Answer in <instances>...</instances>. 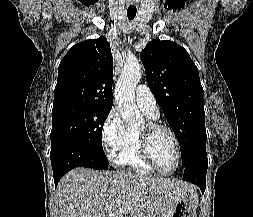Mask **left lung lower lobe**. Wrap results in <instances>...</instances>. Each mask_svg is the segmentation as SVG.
Instances as JSON below:
<instances>
[{"mask_svg":"<svg viewBox=\"0 0 253 217\" xmlns=\"http://www.w3.org/2000/svg\"><path fill=\"white\" fill-rule=\"evenodd\" d=\"M207 167L208 160L206 153L193 157L190 163L183 169V180L196 184L204 193Z\"/></svg>","mask_w":253,"mask_h":217,"instance_id":"0a47b994","label":"left lung lower lobe"}]
</instances>
